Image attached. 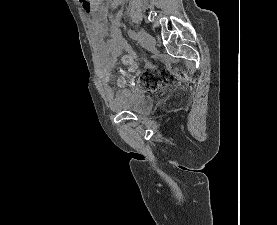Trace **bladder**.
I'll return each instance as SVG.
<instances>
[{
    "label": "bladder",
    "instance_id": "bladder-1",
    "mask_svg": "<svg viewBox=\"0 0 277 225\" xmlns=\"http://www.w3.org/2000/svg\"><path fill=\"white\" fill-rule=\"evenodd\" d=\"M153 106L152 98L135 89L123 90L118 100L113 104L117 112H132L136 115L147 114Z\"/></svg>",
    "mask_w": 277,
    "mask_h": 225
}]
</instances>
